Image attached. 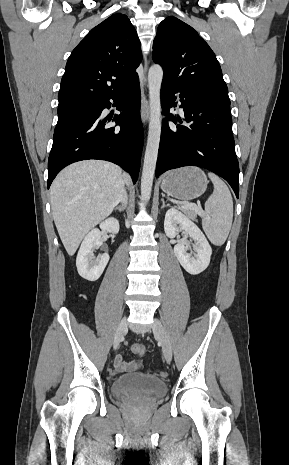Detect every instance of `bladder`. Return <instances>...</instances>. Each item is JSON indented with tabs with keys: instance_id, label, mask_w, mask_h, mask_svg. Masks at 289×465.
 Segmentation results:
<instances>
[{
	"instance_id": "31cf9c89",
	"label": "bladder",
	"mask_w": 289,
	"mask_h": 465,
	"mask_svg": "<svg viewBox=\"0 0 289 465\" xmlns=\"http://www.w3.org/2000/svg\"><path fill=\"white\" fill-rule=\"evenodd\" d=\"M111 393L117 399H123L128 394L135 393L156 400L165 396L167 385L154 376L135 373L123 375L114 380Z\"/></svg>"
}]
</instances>
